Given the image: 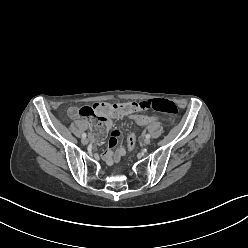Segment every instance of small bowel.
<instances>
[{"label":"small bowel","instance_id":"small-bowel-1","mask_svg":"<svg viewBox=\"0 0 248 248\" xmlns=\"http://www.w3.org/2000/svg\"><path fill=\"white\" fill-rule=\"evenodd\" d=\"M135 113V111H128L122 117L126 116L129 117L130 113ZM67 114L70 118H78L79 117V108L77 107H70L67 111ZM121 118V117H117ZM121 132L118 129H112L111 135L109 137V144L107 149L103 154V159L105 160L106 164L112 166L115 163H118L122 156L125 155L126 149L124 146L117 145L121 142Z\"/></svg>","mask_w":248,"mask_h":248}]
</instances>
